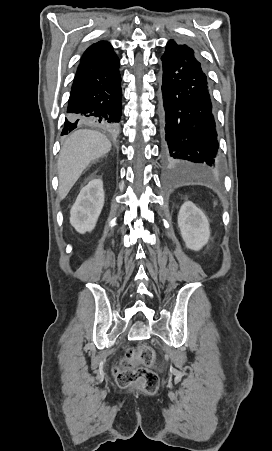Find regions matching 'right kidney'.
<instances>
[{
  "mask_svg": "<svg viewBox=\"0 0 272 451\" xmlns=\"http://www.w3.org/2000/svg\"><path fill=\"white\" fill-rule=\"evenodd\" d=\"M104 190L102 180H91L80 190L70 210V224L79 233L92 231L104 206Z\"/></svg>",
  "mask_w": 272,
  "mask_h": 451,
  "instance_id": "ca27d5eb",
  "label": "right kidney"
}]
</instances>
